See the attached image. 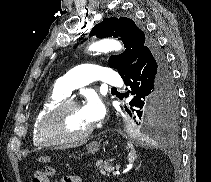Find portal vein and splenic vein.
Here are the masks:
<instances>
[{
    "label": "portal vein and splenic vein",
    "mask_w": 211,
    "mask_h": 182,
    "mask_svg": "<svg viewBox=\"0 0 211 182\" xmlns=\"http://www.w3.org/2000/svg\"><path fill=\"white\" fill-rule=\"evenodd\" d=\"M118 174V171L117 172H114V175Z\"/></svg>",
    "instance_id": "portal-vein-and-splenic-vein-1"
}]
</instances>
